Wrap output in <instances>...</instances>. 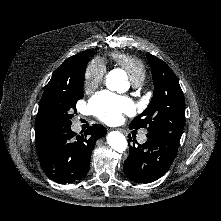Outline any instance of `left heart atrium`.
Returning <instances> with one entry per match:
<instances>
[{"instance_id":"1","label":"left heart atrium","mask_w":221,"mask_h":221,"mask_svg":"<svg viewBox=\"0 0 221 221\" xmlns=\"http://www.w3.org/2000/svg\"><path fill=\"white\" fill-rule=\"evenodd\" d=\"M89 109L101 121L113 124L119 122L123 114L132 113L134 104L127 97L102 91L90 100Z\"/></svg>"}]
</instances>
